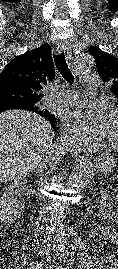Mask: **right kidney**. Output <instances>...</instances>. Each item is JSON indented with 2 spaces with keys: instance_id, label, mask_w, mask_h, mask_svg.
Here are the masks:
<instances>
[{
  "instance_id": "right-kidney-1",
  "label": "right kidney",
  "mask_w": 118,
  "mask_h": 269,
  "mask_svg": "<svg viewBox=\"0 0 118 269\" xmlns=\"http://www.w3.org/2000/svg\"><path fill=\"white\" fill-rule=\"evenodd\" d=\"M26 181H14L3 189L0 197V221L9 224L16 221L24 211L25 201L20 194L21 186H25Z\"/></svg>"
}]
</instances>
